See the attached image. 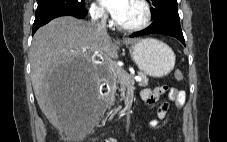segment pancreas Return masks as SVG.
Instances as JSON below:
<instances>
[{"instance_id":"pancreas-1","label":"pancreas","mask_w":227,"mask_h":142,"mask_svg":"<svg viewBox=\"0 0 227 142\" xmlns=\"http://www.w3.org/2000/svg\"><path fill=\"white\" fill-rule=\"evenodd\" d=\"M121 72L123 74L122 76L116 75L115 77H116V82L119 84L118 90L120 92L121 100H123V99L126 98L127 89L130 87L128 81L134 82V79L126 71L121 70ZM137 75L141 78V81L139 82V85L140 86H147L148 85V81H149L147 75L145 73H143L142 71H138Z\"/></svg>"}]
</instances>
